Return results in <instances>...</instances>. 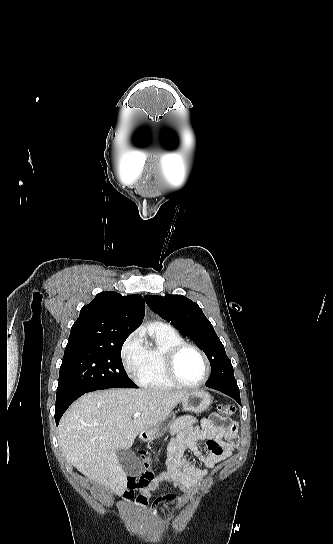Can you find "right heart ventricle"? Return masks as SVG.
<instances>
[{"mask_svg": "<svg viewBox=\"0 0 333 544\" xmlns=\"http://www.w3.org/2000/svg\"><path fill=\"white\" fill-rule=\"evenodd\" d=\"M184 342L182 336L169 326L152 325L149 340L142 342V360L138 383L151 389H171L174 385L164 371V356L169 348Z\"/></svg>", "mask_w": 333, "mask_h": 544, "instance_id": "obj_1", "label": "right heart ventricle"}]
</instances>
